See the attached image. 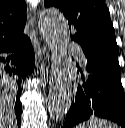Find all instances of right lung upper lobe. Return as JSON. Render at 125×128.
Here are the masks:
<instances>
[{"label": "right lung upper lobe", "instance_id": "right-lung-upper-lobe-1", "mask_svg": "<svg viewBox=\"0 0 125 128\" xmlns=\"http://www.w3.org/2000/svg\"><path fill=\"white\" fill-rule=\"evenodd\" d=\"M26 9L24 0H0V45L23 35Z\"/></svg>", "mask_w": 125, "mask_h": 128}]
</instances>
